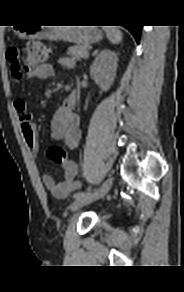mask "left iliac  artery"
Instances as JSON below:
<instances>
[{
	"instance_id": "1",
	"label": "left iliac artery",
	"mask_w": 184,
	"mask_h": 292,
	"mask_svg": "<svg viewBox=\"0 0 184 292\" xmlns=\"http://www.w3.org/2000/svg\"><path fill=\"white\" fill-rule=\"evenodd\" d=\"M95 190V189H94ZM93 190V191H94ZM91 193V190L90 189H88L87 191H84V192H78V193H76V194H74V199H76V200H80V199H82V198H84V197H86L87 195H89Z\"/></svg>"
}]
</instances>
